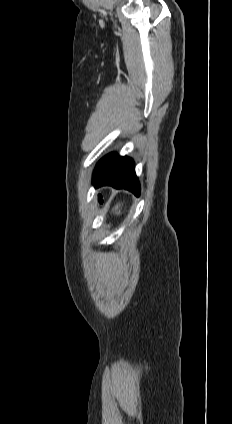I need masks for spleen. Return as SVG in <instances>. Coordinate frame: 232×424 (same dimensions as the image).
Listing matches in <instances>:
<instances>
[{
    "instance_id": "1",
    "label": "spleen",
    "mask_w": 232,
    "mask_h": 424,
    "mask_svg": "<svg viewBox=\"0 0 232 424\" xmlns=\"http://www.w3.org/2000/svg\"><path fill=\"white\" fill-rule=\"evenodd\" d=\"M118 207H119V206H118V205H116V206H115V210H117V209H118Z\"/></svg>"
}]
</instances>
